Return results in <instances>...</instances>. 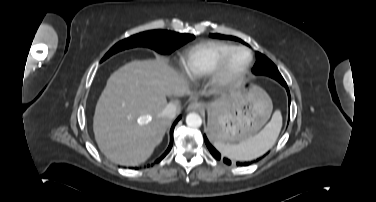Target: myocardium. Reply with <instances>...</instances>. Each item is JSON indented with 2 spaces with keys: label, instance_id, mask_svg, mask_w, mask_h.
<instances>
[{
  "label": "myocardium",
  "instance_id": "f54148a6",
  "mask_svg": "<svg viewBox=\"0 0 376 202\" xmlns=\"http://www.w3.org/2000/svg\"><path fill=\"white\" fill-rule=\"evenodd\" d=\"M238 52H245L248 54V60L245 65L237 72L231 73L228 71V63L232 56ZM253 61L252 52L244 46H234L223 54L220 58L216 68L211 73V84L216 89L228 88L239 82L249 71Z\"/></svg>",
  "mask_w": 376,
  "mask_h": 202
}]
</instances>
